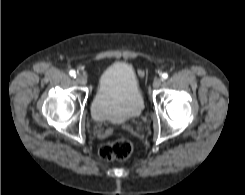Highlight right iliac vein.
<instances>
[{"label": "right iliac vein", "mask_w": 245, "mask_h": 195, "mask_svg": "<svg viewBox=\"0 0 245 195\" xmlns=\"http://www.w3.org/2000/svg\"><path fill=\"white\" fill-rule=\"evenodd\" d=\"M76 81L81 84V85H85L87 83V79L85 76L81 75V74H78L76 76Z\"/></svg>", "instance_id": "obj_1"}]
</instances>
